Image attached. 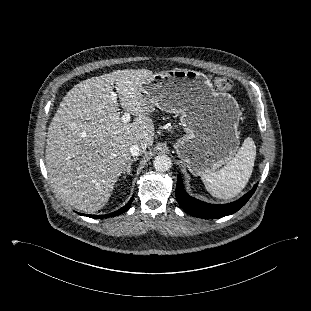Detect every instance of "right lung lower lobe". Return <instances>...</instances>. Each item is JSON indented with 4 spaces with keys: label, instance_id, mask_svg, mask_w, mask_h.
<instances>
[{
    "label": "right lung lower lobe",
    "instance_id": "98d812e1",
    "mask_svg": "<svg viewBox=\"0 0 311 311\" xmlns=\"http://www.w3.org/2000/svg\"><path fill=\"white\" fill-rule=\"evenodd\" d=\"M132 200H133V197L124 207H122L121 209H119L115 212H112L110 214H106V215H85V214L80 213V215L88 216V217L95 218V219L105 218V217H114V216H117V215L124 213L130 207Z\"/></svg>",
    "mask_w": 311,
    "mask_h": 311
}]
</instances>
